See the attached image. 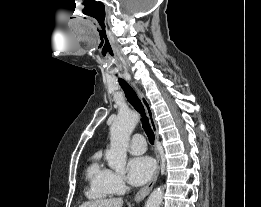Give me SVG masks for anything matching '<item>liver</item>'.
Segmentation results:
<instances>
[{
	"label": "liver",
	"instance_id": "6515ba94",
	"mask_svg": "<svg viewBox=\"0 0 261 207\" xmlns=\"http://www.w3.org/2000/svg\"><path fill=\"white\" fill-rule=\"evenodd\" d=\"M122 198H109L89 201L81 204L79 207H122Z\"/></svg>",
	"mask_w": 261,
	"mask_h": 207
}]
</instances>
